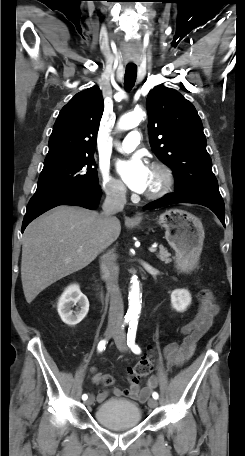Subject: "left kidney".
Wrapping results in <instances>:
<instances>
[{"mask_svg": "<svg viewBox=\"0 0 245 456\" xmlns=\"http://www.w3.org/2000/svg\"><path fill=\"white\" fill-rule=\"evenodd\" d=\"M191 295L185 289H176L171 293L172 307L178 312H184L191 304Z\"/></svg>", "mask_w": 245, "mask_h": 456, "instance_id": "5707ae66", "label": "left kidney"}]
</instances>
